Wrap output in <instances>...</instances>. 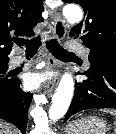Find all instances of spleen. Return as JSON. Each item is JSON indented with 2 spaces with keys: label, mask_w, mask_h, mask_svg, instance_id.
<instances>
[{
  "label": "spleen",
  "mask_w": 116,
  "mask_h": 134,
  "mask_svg": "<svg viewBox=\"0 0 116 134\" xmlns=\"http://www.w3.org/2000/svg\"><path fill=\"white\" fill-rule=\"evenodd\" d=\"M105 112H108V113H111V114H113V115H115L116 116V111H114V110H104Z\"/></svg>",
  "instance_id": "1"
}]
</instances>
